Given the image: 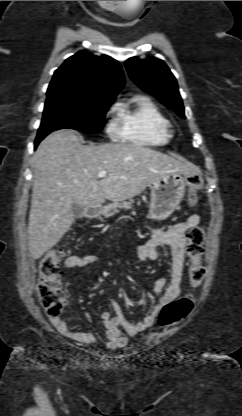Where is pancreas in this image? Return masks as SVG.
Here are the masks:
<instances>
[{
	"label": "pancreas",
	"instance_id": "obj_1",
	"mask_svg": "<svg viewBox=\"0 0 242 416\" xmlns=\"http://www.w3.org/2000/svg\"><path fill=\"white\" fill-rule=\"evenodd\" d=\"M133 200L129 201H121V202H113L106 207H104L101 213L104 215L105 218L112 217L116 213L120 211V209H131Z\"/></svg>",
	"mask_w": 242,
	"mask_h": 416
}]
</instances>
